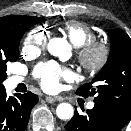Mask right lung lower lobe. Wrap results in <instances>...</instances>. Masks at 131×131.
<instances>
[{
    "label": "right lung lower lobe",
    "mask_w": 131,
    "mask_h": 131,
    "mask_svg": "<svg viewBox=\"0 0 131 131\" xmlns=\"http://www.w3.org/2000/svg\"><path fill=\"white\" fill-rule=\"evenodd\" d=\"M38 102V96L28 92L7 97L4 87L0 89V131H24L30 112Z\"/></svg>",
    "instance_id": "98d812e1"
}]
</instances>
